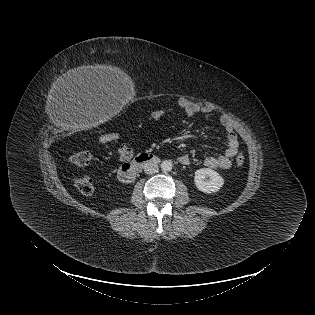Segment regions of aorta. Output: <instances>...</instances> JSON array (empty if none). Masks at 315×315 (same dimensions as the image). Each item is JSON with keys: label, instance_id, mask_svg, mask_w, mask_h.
Returning a JSON list of instances; mask_svg holds the SVG:
<instances>
[{"label": "aorta", "instance_id": "aorta-1", "mask_svg": "<svg viewBox=\"0 0 315 315\" xmlns=\"http://www.w3.org/2000/svg\"><path fill=\"white\" fill-rule=\"evenodd\" d=\"M172 162L170 160H164L162 163H161V170L163 172H170L172 170Z\"/></svg>", "mask_w": 315, "mask_h": 315}]
</instances>
